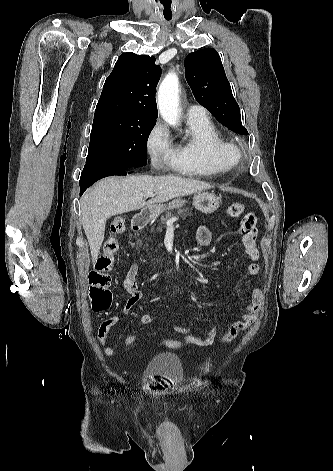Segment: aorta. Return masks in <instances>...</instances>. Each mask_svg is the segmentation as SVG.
Segmentation results:
<instances>
[{
	"instance_id": "aorta-1",
	"label": "aorta",
	"mask_w": 333,
	"mask_h": 471,
	"mask_svg": "<svg viewBox=\"0 0 333 471\" xmlns=\"http://www.w3.org/2000/svg\"><path fill=\"white\" fill-rule=\"evenodd\" d=\"M179 80L174 72L166 75L158 90V108L164 121L176 127L179 121Z\"/></svg>"
}]
</instances>
